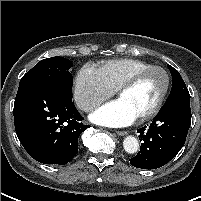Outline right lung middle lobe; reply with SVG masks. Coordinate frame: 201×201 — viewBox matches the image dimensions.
<instances>
[{"instance_id":"right-lung-middle-lobe-1","label":"right lung middle lobe","mask_w":201,"mask_h":201,"mask_svg":"<svg viewBox=\"0 0 201 201\" xmlns=\"http://www.w3.org/2000/svg\"><path fill=\"white\" fill-rule=\"evenodd\" d=\"M72 66L73 64L70 60L59 56L43 59L21 78L20 83L32 79H45L60 85L65 91L72 93L73 77L69 72Z\"/></svg>"}]
</instances>
